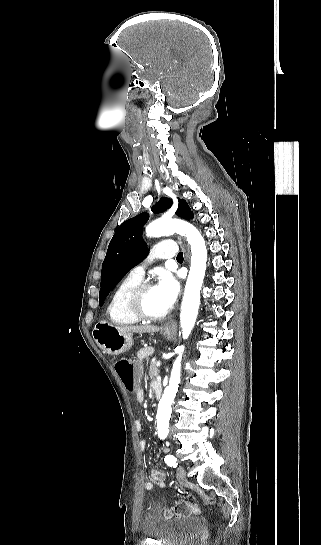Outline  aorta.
I'll list each match as a JSON object with an SVG mask.
<instances>
[{
    "instance_id": "obj_1",
    "label": "aorta",
    "mask_w": 321,
    "mask_h": 545,
    "mask_svg": "<svg viewBox=\"0 0 321 545\" xmlns=\"http://www.w3.org/2000/svg\"><path fill=\"white\" fill-rule=\"evenodd\" d=\"M150 237L168 236L179 233L185 235L191 247V265L185 285L184 296L181 305L180 325L182 335L187 339L194 327L200 305V291L206 271L207 249L203 236L192 224L179 219L160 218L150 223L146 228ZM184 346H178L176 358L169 385L165 388L158 405L156 415L157 431L160 439L164 440L169 432V420L171 417V406L178 391L180 383V369Z\"/></svg>"
}]
</instances>
